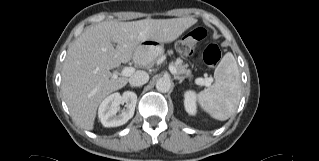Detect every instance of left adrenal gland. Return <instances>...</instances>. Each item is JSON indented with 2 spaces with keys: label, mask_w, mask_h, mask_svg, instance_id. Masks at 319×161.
Wrapping results in <instances>:
<instances>
[{
  "label": "left adrenal gland",
  "mask_w": 319,
  "mask_h": 161,
  "mask_svg": "<svg viewBox=\"0 0 319 161\" xmlns=\"http://www.w3.org/2000/svg\"><path fill=\"white\" fill-rule=\"evenodd\" d=\"M185 77L174 76V79L179 80V83H182Z\"/></svg>",
  "instance_id": "1"
}]
</instances>
